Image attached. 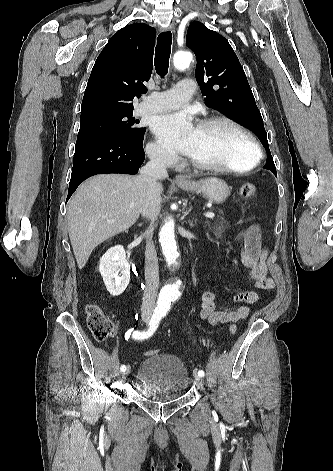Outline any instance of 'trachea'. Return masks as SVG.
I'll return each mask as SVG.
<instances>
[{"instance_id": "obj_1", "label": "trachea", "mask_w": 333, "mask_h": 471, "mask_svg": "<svg viewBox=\"0 0 333 471\" xmlns=\"http://www.w3.org/2000/svg\"><path fill=\"white\" fill-rule=\"evenodd\" d=\"M171 44L172 34L170 31L159 34L155 49V69L161 77H165L168 73Z\"/></svg>"}]
</instances>
